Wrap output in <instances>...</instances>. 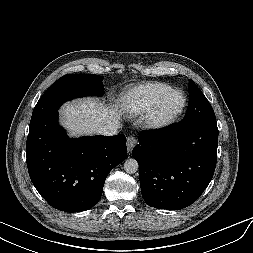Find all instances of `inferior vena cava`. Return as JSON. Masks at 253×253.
<instances>
[{"mask_svg": "<svg viewBox=\"0 0 253 253\" xmlns=\"http://www.w3.org/2000/svg\"><path fill=\"white\" fill-rule=\"evenodd\" d=\"M118 128H120L119 124L111 122L102 127H99L97 132L101 135L112 136L117 133Z\"/></svg>", "mask_w": 253, "mask_h": 253, "instance_id": "inferior-vena-cava-1", "label": "inferior vena cava"}]
</instances>
